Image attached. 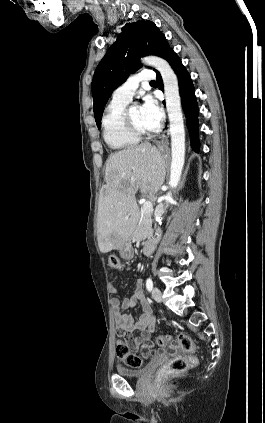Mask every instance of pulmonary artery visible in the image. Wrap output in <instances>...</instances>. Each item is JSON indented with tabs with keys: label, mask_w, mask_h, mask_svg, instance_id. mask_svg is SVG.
Wrapping results in <instances>:
<instances>
[{
	"label": "pulmonary artery",
	"mask_w": 265,
	"mask_h": 423,
	"mask_svg": "<svg viewBox=\"0 0 265 423\" xmlns=\"http://www.w3.org/2000/svg\"><path fill=\"white\" fill-rule=\"evenodd\" d=\"M155 79V72L152 70L141 71L138 75L129 78L124 84L119 86L113 93V100L130 102L139 83H148Z\"/></svg>",
	"instance_id": "obj_1"
}]
</instances>
